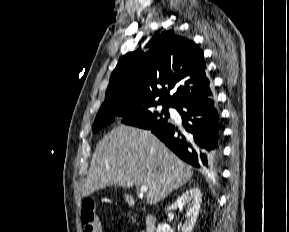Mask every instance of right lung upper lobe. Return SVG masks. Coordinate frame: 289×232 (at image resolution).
Instances as JSON below:
<instances>
[{"label": "right lung upper lobe", "mask_w": 289, "mask_h": 232, "mask_svg": "<svg viewBox=\"0 0 289 232\" xmlns=\"http://www.w3.org/2000/svg\"><path fill=\"white\" fill-rule=\"evenodd\" d=\"M146 47L147 52H129L120 59L105 100L133 97L176 107L191 99L214 96L203 53L194 42L169 30L152 38ZM174 88L177 91L170 96Z\"/></svg>", "instance_id": "cb5924a9"}]
</instances>
